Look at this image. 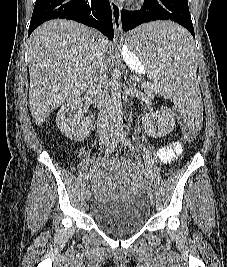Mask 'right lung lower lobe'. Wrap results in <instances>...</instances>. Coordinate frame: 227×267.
Returning a JSON list of instances; mask_svg holds the SVG:
<instances>
[{"label": "right lung lower lobe", "mask_w": 227, "mask_h": 267, "mask_svg": "<svg viewBox=\"0 0 227 267\" xmlns=\"http://www.w3.org/2000/svg\"><path fill=\"white\" fill-rule=\"evenodd\" d=\"M56 18L71 19L94 27L113 40L109 0H36L28 36L40 24Z\"/></svg>", "instance_id": "obj_1"}]
</instances>
